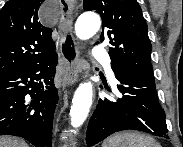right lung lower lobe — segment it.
Returning a JSON list of instances; mask_svg holds the SVG:
<instances>
[{"label":"right lung lower lobe","instance_id":"right-lung-lower-lobe-1","mask_svg":"<svg viewBox=\"0 0 183 147\" xmlns=\"http://www.w3.org/2000/svg\"><path fill=\"white\" fill-rule=\"evenodd\" d=\"M57 59L54 54L43 62L0 77V135L19 136L36 147H51L58 102L53 82Z\"/></svg>","mask_w":183,"mask_h":147}]
</instances>
